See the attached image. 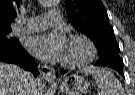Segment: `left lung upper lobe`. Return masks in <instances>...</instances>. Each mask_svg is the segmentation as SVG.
<instances>
[{"label": "left lung upper lobe", "instance_id": "5c2ea615", "mask_svg": "<svg viewBox=\"0 0 135 95\" xmlns=\"http://www.w3.org/2000/svg\"><path fill=\"white\" fill-rule=\"evenodd\" d=\"M65 2L71 24L94 42L100 58H120L119 46L101 0H65Z\"/></svg>", "mask_w": 135, "mask_h": 95}]
</instances>
